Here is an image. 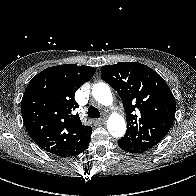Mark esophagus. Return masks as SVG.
<instances>
[{"label": "esophagus", "instance_id": "obj_1", "mask_svg": "<svg viewBox=\"0 0 196 196\" xmlns=\"http://www.w3.org/2000/svg\"><path fill=\"white\" fill-rule=\"evenodd\" d=\"M106 122V118H101L100 120H99V123H101V124H104Z\"/></svg>", "mask_w": 196, "mask_h": 196}]
</instances>
